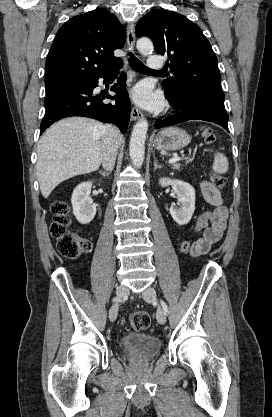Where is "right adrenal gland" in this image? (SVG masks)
<instances>
[{
    "label": "right adrenal gland",
    "instance_id": "obj_1",
    "mask_svg": "<svg viewBox=\"0 0 272 417\" xmlns=\"http://www.w3.org/2000/svg\"><path fill=\"white\" fill-rule=\"evenodd\" d=\"M99 174H101L102 176H108L109 174H110V171L109 172H106V171H102V170H100L99 171Z\"/></svg>",
    "mask_w": 272,
    "mask_h": 417
}]
</instances>
